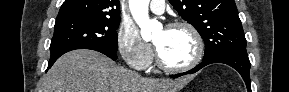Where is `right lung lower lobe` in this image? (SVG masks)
Listing matches in <instances>:
<instances>
[{
  "mask_svg": "<svg viewBox=\"0 0 289 92\" xmlns=\"http://www.w3.org/2000/svg\"><path fill=\"white\" fill-rule=\"evenodd\" d=\"M92 50L99 51V52L105 54L106 56H108L109 58H111L112 60H116V59H117V55H116V53H114V52H111V51H108V50H104V49H92ZM58 58H59V57H58ZM58 58H53V59H50V60H49L47 70L51 68V66L54 64V62H55Z\"/></svg>",
  "mask_w": 289,
  "mask_h": 92,
  "instance_id": "obj_1",
  "label": "right lung lower lobe"
}]
</instances>
